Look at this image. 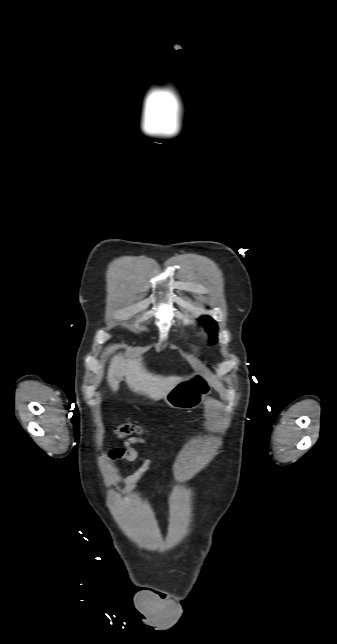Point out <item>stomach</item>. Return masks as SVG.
<instances>
[{
	"label": "stomach",
	"instance_id": "stomach-1",
	"mask_svg": "<svg viewBox=\"0 0 337 644\" xmlns=\"http://www.w3.org/2000/svg\"><path fill=\"white\" fill-rule=\"evenodd\" d=\"M211 389L207 374L195 371L178 383L164 397V400L172 408L190 410L200 406Z\"/></svg>",
	"mask_w": 337,
	"mask_h": 644
}]
</instances>
